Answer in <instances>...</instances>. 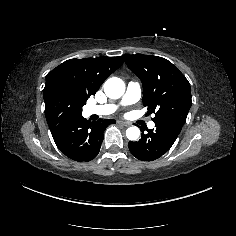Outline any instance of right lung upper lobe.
Returning <instances> with one entry per match:
<instances>
[{
	"label": "right lung upper lobe",
	"mask_w": 236,
	"mask_h": 236,
	"mask_svg": "<svg viewBox=\"0 0 236 236\" xmlns=\"http://www.w3.org/2000/svg\"><path fill=\"white\" fill-rule=\"evenodd\" d=\"M123 60L122 56L67 60L47 74L45 87L60 83L74 96L87 101Z\"/></svg>",
	"instance_id": "right-lung-upper-lobe-1"
}]
</instances>
